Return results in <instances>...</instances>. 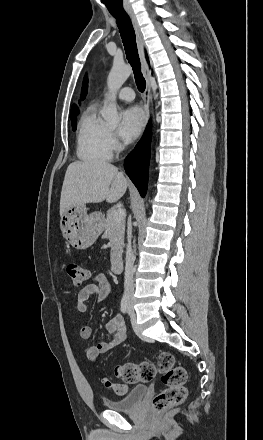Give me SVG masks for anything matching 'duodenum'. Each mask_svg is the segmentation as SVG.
Listing matches in <instances>:
<instances>
[{"label": "duodenum", "mask_w": 263, "mask_h": 440, "mask_svg": "<svg viewBox=\"0 0 263 440\" xmlns=\"http://www.w3.org/2000/svg\"><path fill=\"white\" fill-rule=\"evenodd\" d=\"M122 271V262L120 260H114L112 263V272L119 274Z\"/></svg>", "instance_id": "1"}]
</instances>
